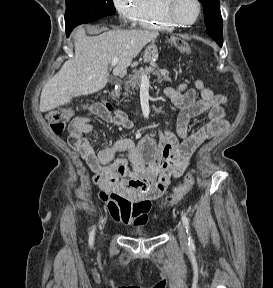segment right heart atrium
<instances>
[{"label": "right heart atrium", "mask_w": 273, "mask_h": 288, "mask_svg": "<svg viewBox=\"0 0 273 288\" xmlns=\"http://www.w3.org/2000/svg\"><path fill=\"white\" fill-rule=\"evenodd\" d=\"M114 7L125 23H134L140 0H113Z\"/></svg>", "instance_id": "obj_1"}]
</instances>
